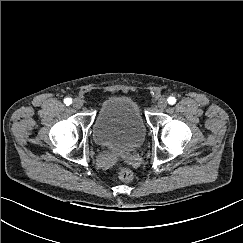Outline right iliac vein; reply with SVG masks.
Wrapping results in <instances>:
<instances>
[{
	"label": "right iliac vein",
	"mask_w": 243,
	"mask_h": 243,
	"mask_svg": "<svg viewBox=\"0 0 243 243\" xmlns=\"http://www.w3.org/2000/svg\"><path fill=\"white\" fill-rule=\"evenodd\" d=\"M82 106H83V102H82V100L80 98H75L73 100V107L75 109H80Z\"/></svg>",
	"instance_id": "obj_1"
}]
</instances>
